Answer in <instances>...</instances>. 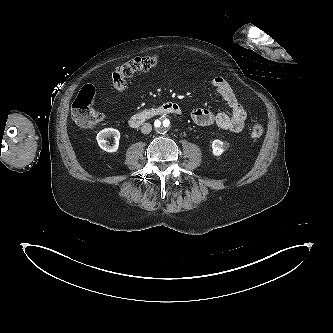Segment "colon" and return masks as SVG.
Listing matches in <instances>:
<instances>
[{
	"label": "colon",
	"instance_id": "colon-1",
	"mask_svg": "<svg viewBox=\"0 0 333 333\" xmlns=\"http://www.w3.org/2000/svg\"><path fill=\"white\" fill-rule=\"evenodd\" d=\"M159 63L157 56L135 57L118 67L112 73V84L115 89L122 91L127 87V80L135 73L155 68ZM96 89L93 85H85L72 103V117L82 127H90L101 123L104 115L94 108ZM263 126L255 123L251 127L250 137L257 141L263 135Z\"/></svg>",
	"mask_w": 333,
	"mask_h": 333
}]
</instances>
